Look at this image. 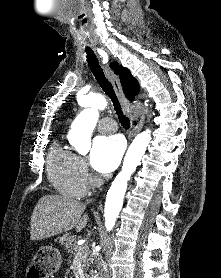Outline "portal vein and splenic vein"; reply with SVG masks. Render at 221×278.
<instances>
[{
    "mask_svg": "<svg viewBox=\"0 0 221 278\" xmlns=\"http://www.w3.org/2000/svg\"><path fill=\"white\" fill-rule=\"evenodd\" d=\"M83 247H84V246H83ZM77 256H81V252H78V253H77Z\"/></svg>",
    "mask_w": 221,
    "mask_h": 278,
    "instance_id": "18ae733b",
    "label": "portal vein and splenic vein"
}]
</instances>
